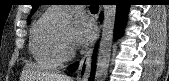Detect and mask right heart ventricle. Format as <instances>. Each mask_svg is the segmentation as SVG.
Returning a JSON list of instances; mask_svg holds the SVG:
<instances>
[{"mask_svg": "<svg viewBox=\"0 0 169 81\" xmlns=\"http://www.w3.org/2000/svg\"><path fill=\"white\" fill-rule=\"evenodd\" d=\"M58 16L59 12L50 8L38 18L31 29V54L39 65L46 68H56L62 61L56 40Z\"/></svg>", "mask_w": 169, "mask_h": 81, "instance_id": "right-heart-ventricle-1", "label": "right heart ventricle"}]
</instances>
